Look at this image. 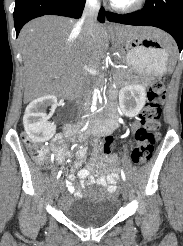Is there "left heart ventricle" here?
I'll use <instances>...</instances> for the list:
<instances>
[{"mask_svg":"<svg viewBox=\"0 0 183 246\" xmlns=\"http://www.w3.org/2000/svg\"><path fill=\"white\" fill-rule=\"evenodd\" d=\"M114 1L121 3V4H127V3L131 2L132 0H114Z\"/></svg>","mask_w":183,"mask_h":246,"instance_id":"obj_1","label":"left heart ventricle"}]
</instances>
